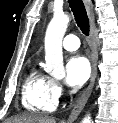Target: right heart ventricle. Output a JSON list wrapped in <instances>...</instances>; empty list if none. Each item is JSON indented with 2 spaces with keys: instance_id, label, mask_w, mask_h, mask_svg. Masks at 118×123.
<instances>
[{
  "instance_id": "right-heart-ventricle-1",
  "label": "right heart ventricle",
  "mask_w": 118,
  "mask_h": 123,
  "mask_svg": "<svg viewBox=\"0 0 118 123\" xmlns=\"http://www.w3.org/2000/svg\"><path fill=\"white\" fill-rule=\"evenodd\" d=\"M58 99L52 90V80L33 68L26 76L22 87V104L32 112L49 113L55 110Z\"/></svg>"
}]
</instances>
